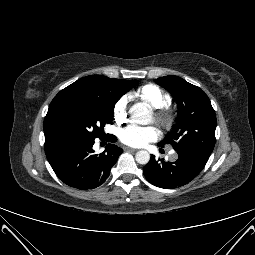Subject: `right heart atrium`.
Here are the masks:
<instances>
[{
    "mask_svg": "<svg viewBox=\"0 0 255 255\" xmlns=\"http://www.w3.org/2000/svg\"><path fill=\"white\" fill-rule=\"evenodd\" d=\"M126 109H127V100L125 97H122L116 101L113 106V117L115 121L121 123L124 121L126 117Z\"/></svg>",
    "mask_w": 255,
    "mask_h": 255,
    "instance_id": "right-heart-atrium-1",
    "label": "right heart atrium"
}]
</instances>
